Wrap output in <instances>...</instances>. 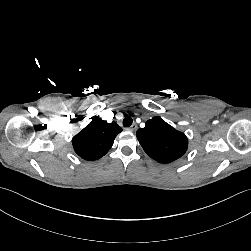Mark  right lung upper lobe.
Returning a JSON list of instances; mask_svg holds the SVG:
<instances>
[{"mask_svg":"<svg viewBox=\"0 0 251 251\" xmlns=\"http://www.w3.org/2000/svg\"><path fill=\"white\" fill-rule=\"evenodd\" d=\"M121 131L122 128L117 123H107L94 117L89 125L73 137V148L81 158L97 160L109 151Z\"/></svg>","mask_w":251,"mask_h":251,"instance_id":"cb5924a9","label":"right lung upper lobe"}]
</instances>
